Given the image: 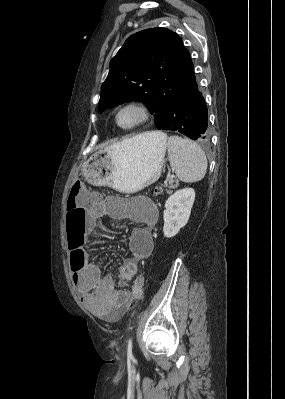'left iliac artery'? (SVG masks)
<instances>
[{
	"instance_id": "left-iliac-artery-1",
	"label": "left iliac artery",
	"mask_w": 285,
	"mask_h": 399,
	"mask_svg": "<svg viewBox=\"0 0 285 399\" xmlns=\"http://www.w3.org/2000/svg\"><path fill=\"white\" fill-rule=\"evenodd\" d=\"M127 355H128V357L132 356V338H129V340H128Z\"/></svg>"
}]
</instances>
